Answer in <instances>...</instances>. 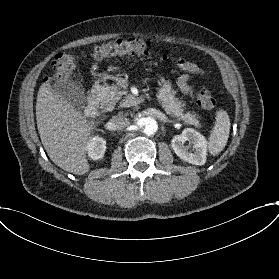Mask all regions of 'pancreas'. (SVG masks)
Masks as SVG:
<instances>
[{
    "label": "pancreas",
    "instance_id": "1",
    "mask_svg": "<svg viewBox=\"0 0 279 279\" xmlns=\"http://www.w3.org/2000/svg\"><path fill=\"white\" fill-rule=\"evenodd\" d=\"M158 84L161 88L158 89L157 100L164 108L165 112L168 115L179 118L180 120L185 121L189 124H198L199 121L195 118L194 114L183 113L182 107L184 104L179 101L178 98H175L176 92L172 90V85L168 80H165L163 77L158 80ZM96 97L100 101L102 107H111L114 108L116 103L121 99V96L124 94L123 91H120L116 85L104 84L99 86V88H94Z\"/></svg>",
    "mask_w": 279,
    "mask_h": 279
}]
</instances>
